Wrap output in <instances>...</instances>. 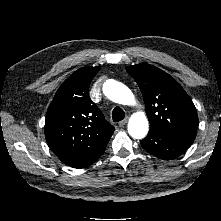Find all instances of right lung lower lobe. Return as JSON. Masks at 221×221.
I'll list each match as a JSON object with an SVG mask.
<instances>
[{"mask_svg":"<svg viewBox=\"0 0 221 221\" xmlns=\"http://www.w3.org/2000/svg\"><path fill=\"white\" fill-rule=\"evenodd\" d=\"M100 156H101V155H100ZM100 156H99V157H100ZM99 157H97V158L93 159L92 161L86 163L85 165L81 166L80 168H84V167H87V166L91 165V164L94 163Z\"/></svg>","mask_w":221,"mask_h":221,"instance_id":"obj_1","label":"right lung lower lobe"}]
</instances>
